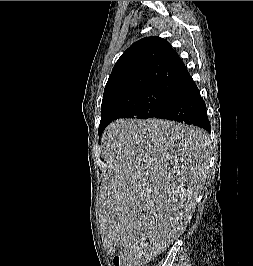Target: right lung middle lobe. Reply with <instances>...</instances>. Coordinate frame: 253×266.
Instances as JSON below:
<instances>
[{"mask_svg": "<svg viewBox=\"0 0 253 266\" xmlns=\"http://www.w3.org/2000/svg\"><path fill=\"white\" fill-rule=\"evenodd\" d=\"M173 84L161 83L126 92L101 105L99 135L118 118H152L162 115L169 103Z\"/></svg>", "mask_w": 253, "mask_h": 266, "instance_id": "1", "label": "right lung middle lobe"}]
</instances>
